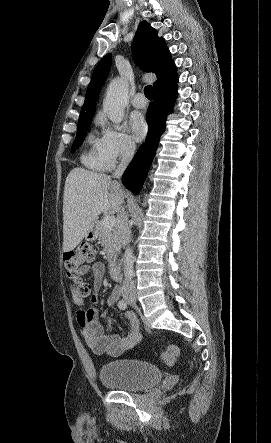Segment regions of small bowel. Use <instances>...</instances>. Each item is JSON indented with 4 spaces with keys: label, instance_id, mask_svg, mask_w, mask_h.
<instances>
[{
    "label": "small bowel",
    "instance_id": "1",
    "mask_svg": "<svg viewBox=\"0 0 271 443\" xmlns=\"http://www.w3.org/2000/svg\"><path fill=\"white\" fill-rule=\"evenodd\" d=\"M80 275H92V289L98 291L104 281L105 270L101 263H94L92 265H84L80 268ZM73 294V301L76 305L81 306L83 297L79 296L76 288L71 286ZM119 290L114 288L111 292L107 303L113 305L119 297ZM92 302L96 301V296L91 295ZM125 319L128 323V334L120 337L117 334H106L99 322L98 312L91 307L87 310H79L77 312V322L83 329V337L89 349L94 355L108 354L111 356H119L127 350L134 347L140 341V327L136 316L130 312L125 313Z\"/></svg>",
    "mask_w": 271,
    "mask_h": 443
}]
</instances>
